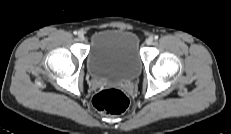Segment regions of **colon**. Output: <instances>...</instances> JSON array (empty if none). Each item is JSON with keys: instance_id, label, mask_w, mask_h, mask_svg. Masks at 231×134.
Here are the masks:
<instances>
[{"instance_id": "5ec220e1", "label": "colon", "mask_w": 231, "mask_h": 134, "mask_svg": "<svg viewBox=\"0 0 231 134\" xmlns=\"http://www.w3.org/2000/svg\"><path fill=\"white\" fill-rule=\"evenodd\" d=\"M93 105L104 115L116 116L128 108L129 98L118 88H105L94 95Z\"/></svg>"}]
</instances>
